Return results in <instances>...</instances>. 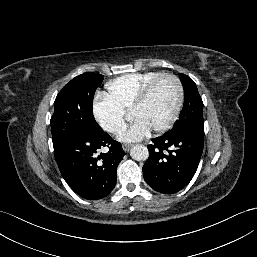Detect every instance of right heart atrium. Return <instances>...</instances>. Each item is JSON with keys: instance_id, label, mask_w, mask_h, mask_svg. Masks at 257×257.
Wrapping results in <instances>:
<instances>
[{"instance_id": "obj_1", "label": "right heart atrium", "mask_w": 257, "mask_h": 257, "mask_svg": "<svg viewBox=\"0 0 257 257\" xmlns=\"http://www.w3.org/2000/svg\"><path fill=\"white\" fill-rule=\"evenodd\" d=\"M100 102H104L108 105H110L116 112L117 114V120L115 122H113L112 124H106L105 122L101 121L98 117L97 114V110L96 107ZM93 114L95 117V120L97 121V123L99 124V126L107 133L111 134V135H117L120 133L121 129L124 126V117H125V112L119 108L115 103H113L107 95H101L99 97V102H97L94 105V109H93Z\"/></svg>"}]
</instances>
